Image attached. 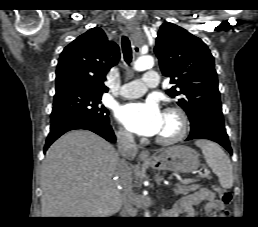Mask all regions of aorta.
I'll list each match as a JSON object with an SVG mask.
<instances>
[{"mask_svg": "<svg viewBox=\"0 0 258 227\" xmlns=\"http://www.w3.org/2000/svg\"><path fill=\"white\" fill-rule=\"evenodd\" d=\"M153 64H154L153 57H151V56H142V57H139L135 61L133 68L136 71H144L146 69L151 68L153 66ZM146 217H149L148 213H146Z\"/></svg>", "mask_w": 258, "mask_h": 227, "instance_id": "1", "label": "aorta"}]
</instances>
